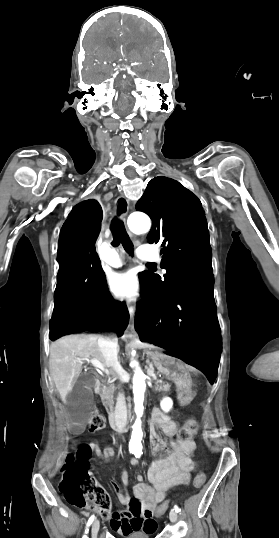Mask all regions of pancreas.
I'll return each instance as SVG.
<instances>
[{
	"mask_svg": "<svg viewBox=\"0 0 279 538\" xmlns=\"http://www.w3.org/2000/svg\"><path fill=\"white\" fill-rule=\"evenodd\" d=\"M168 384H173V381H168L167 379L157 380V383H155V391L161 392V388H165ZM115 390L116 386H114V384H108V386L102 388L101 394H99L103 406H109L111 410H113L112 406L114 404Z\"/></svg>",
	"mask_w": 279,
	"mask_h": 538,
	"instance_id": "pancreas-1",
	"label": "pancreas"
}]
</instances>
